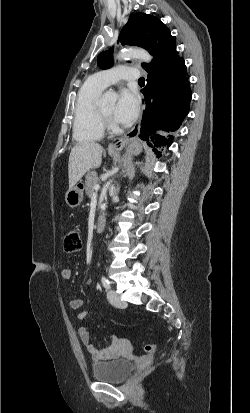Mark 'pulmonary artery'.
<instances>
[{
    "mask_svg": "<svg viewBox=\"0 0 250 413\" xmlns=\"http://www.w3.org/2000/svg\"><path fill=\"white\" fill-rule=\"evenodd\" d=\"M140 76L137 68L116 66L94 74L90 79L102 89L118 82L121 79L136 80Z\"/></svg>",
    "mask_w": 250,
    "mask_h": 413,
    "instance_id": "obj_1",
    "label": "pulmonary artery"
}]
</instances>
